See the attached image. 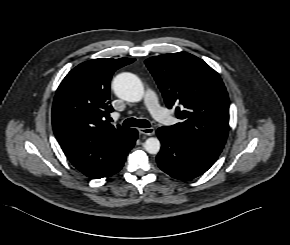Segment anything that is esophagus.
I'll use <instances>...</instances> for the list:
<instances>
[{
  "instance_id": "34e87169",
  "label": "esophagus",
  "mask_w": 290,
  "mask_h": 245,
  "mask_svg": "<svg viewBox=\"0 0 290 245\" xmlns=\"http://www.w3.org/2000/svg\"><path fill=\"white\" fill-rule=\"evenodd\" d=\"M138 131L140 134L148 135V136H152L155 134V129L152 127L151 128H139Z\"/></svg>"
}]
</instances>
